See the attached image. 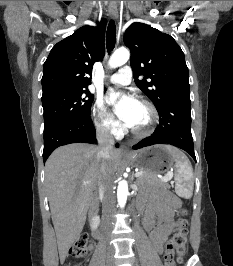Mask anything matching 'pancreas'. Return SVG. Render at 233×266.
Instances as JSON below:
<instances>
[{
	"instance_id": "pancreas-1",
	"label": "pancreas",
	"mask_w": 233,
	"mask_h": 266,
	"mask_svg": "<svg viewBox=\"0 0 233 266\" xmlns=\"http://www.w3.org/2000/svg\"><path fill=\"white\" fill-rule=\"evenodd\" d=\"M142 175L137 178V185L145 186V185H159V186H167L166 182L161 181L156 174H152L147 171H140Z\"/></svg>"
}]
</instances>
